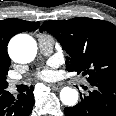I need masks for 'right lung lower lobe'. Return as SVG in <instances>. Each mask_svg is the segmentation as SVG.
Returning <instances> with one entry per match:
<instances>
[{"label": "right lung lower lobe", "instance_id": "obj_1", "mask_svg": "<svg viewBox=\"0 0 116 116\" xmlns=\"http://www.w3.org/2000/svg\"><path fill=\"white\" fill-rule=\"evenodd\" d=\"M32 91L15 98L8 91L0 98V116H29L33 108Z\"/></svg>", "mask_w": 116, "mask_h": 116}]
</instances>
